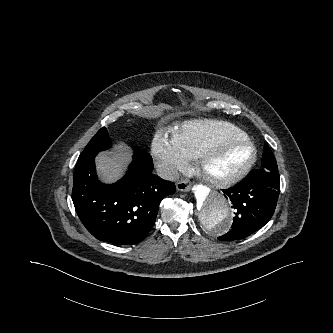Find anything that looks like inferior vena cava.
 I'll list each match as a JSON object with an SVG mask.
<instances>
[{"mask_svg": "<svg viewBox=\"0 0 333 333\" xmlns=\"http://www.w3.org/2000/svg\"><path fill=\"white\" fill-rule=\"evenodd\" d=\"M156 171L159 177L165 179V180H170V181H175L179 174L177 170L168 164H160L156 167Z\"/></svg>", "mask_w": 333, "mask_h": 333, "instance_id": "inferior-vena-cava-1", "label": "inferior vena cava"}]
</instances>
